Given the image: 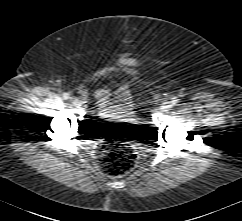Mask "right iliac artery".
I'll return each instance as SVG.
<instances>
[{
	"label": "right iliac artery",
	"mask_w": 242,
	"mask_h": 221,
	"mask_svg": "<svg viewBox=\"0 0 242 221\" xmlns=\"http://www.w3.org/2000/svg\"><path fill=\"white\" fill-rule=\"evenodd\" d=\"M63 98L67 100V99L70 98V95H69L68 93H64V94H63Z\"/></svg>",
	"instance_id": "obj_1"
}]
</instances>
